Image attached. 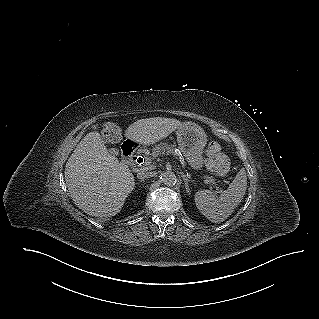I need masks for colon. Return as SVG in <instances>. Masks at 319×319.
<instances>
[{"mask_svg":"<svg viewBox=\"0 0 319 319\" xmlns=\"http://www.w3.org/2000/svg\"><path fill=\"white\" fill-rule=\"evenodd\" d=\"M91 128L92 131L97 134L103 131L105 140L113 145H118L122 141L120 128L115 126L110 120L106 119L102 122H94ZM207 154L208 168L217 176H225L229 170V161L226 155L222 153L221 146L216 142L210 143L207 149Z\"/></svg>","mask_w":319,"mask_h":319,"instance_id":"colon-1","label":"colon"}]
</instances>
